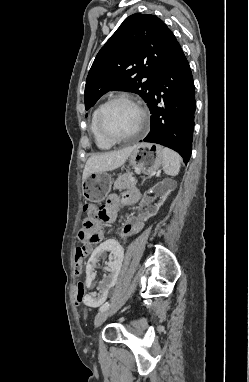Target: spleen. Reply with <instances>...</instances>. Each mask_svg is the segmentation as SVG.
Listing matches in <instances>:
<instances>
[{
	"label": "spleen",
	"mask_w": 249,
	"mask_h": 382,
	"mask_svg": "<svg viewBox=\"0 0 249 382\" xmlns=\"http://www.w3.org/2000/svg\"><path fill=\"white\" fill-rule=\"evenodd\" d=\"M162 167L165 174L170 176L178 175L181 166V157L175 151L164 147L162 148Z\"/></svg>",
	"instance_id": "spleen-1"
}]
</instances>
